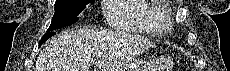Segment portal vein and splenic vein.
Here are the masks:
<instances>
[{
    "mask_svg": "<svg viewBox=\"0 0 230 71\" xmlns=\"http://www.w3.org/2000/svg\"><path fill=\"white\" fill-rule=\"evenodd\" d=\"M102 55H103V53H101V52H100V53H98V54H97V58L102 57Z\"/></svg>",
    "mask_w": 230,
    "mask_h": 71,
    "instance_id": "obj_1",
    "label": "portal vein and splenic vein"
}]
</instances>
